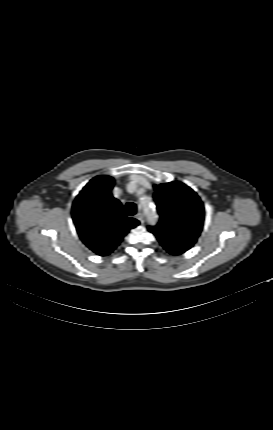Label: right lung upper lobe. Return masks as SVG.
I'll return each mask as SVG.
<instances>
[{
	"label": "right lung upper lobe",
	"instance_id": "obj_1",
	"mask_svg": "<svg viewBox=\"0 0 273 430\" xmlns=\"http://www.w3.org/2000/svg\"><path fill=\"white\" fill-rule=\"evenodd\" d=\"M114 179L97 176L77 195L72 218L82 242L100 256L109 255L139 221L124 216L121 203L111 195Z\"/></svg>",
	"mask_w": 273,
	"mask_h": 430
}]
</instances>
